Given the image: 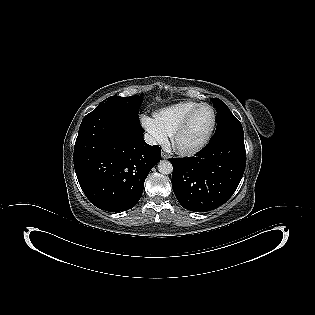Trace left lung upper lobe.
Instances as JSON below:
<instances>
[{"mask_svg": "<svg viewBox=\"0 0 315 315\" xmlns=\"http://www.w3.org/2000/svg\"><path fill=\"white\" fill-rule=\"evenodd\" d=\"M211 100L217 111V127L210 142L227 136L244 138L241 123L231 113L227 105L218 98H212Z\"/></svg>", "mask_w": 315, "mask_h": 315, "instance_id": "obj_1", "label": "left lung upper lobe"}]
</instances>
